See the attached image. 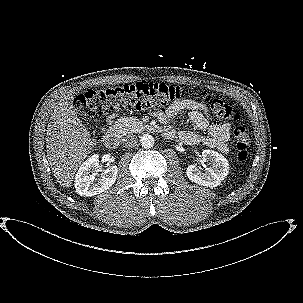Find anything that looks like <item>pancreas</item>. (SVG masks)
Returning <instances> with one entry per match:
<instances>
[{
	"instance_id": "obj_1",
	"label": "pancreas",
	"mask_w": 303,
	"mask_h": 303,
	"mask_svg": "<svg viewBox=\"0 0 303 303\" xmlns=\"http://www.w3.org/2000/svg\"><path fill=\"white\" fill-rule=\"evenodd\" d=\"M117 135L123 136L128 133L141 132L146 128V125L135 117L120 118L114 125Z\"/></svg>"
}]
</instances>
